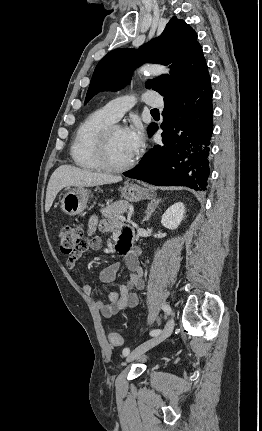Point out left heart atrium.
Masks as SVG:
<instances>
[{
    "label": "left heart atrium",
    "mask_w": 262,
    "mask_h": 431,
    "mask_svg": "<svg viewBox=\"0 0 262 431\" xmlns=\"http://www.w3.org/2000/svg\"><path fill=\"white\" fill-rule=\"evenodd\" d=\"M124 131L128 146L133 155H135L143 146V131L138 124H134L130 128L125 129Z\"/></svg>",
    "instance_id": "1"
}]
</instances>
